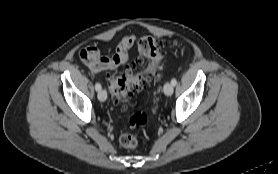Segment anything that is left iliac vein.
I'll use <instances>...</instances> for the list:
<instances>
[{
    "instance_id": "left-iliac-vein-1",
    "label": "left iliac vein",
    "mask_w": 278,
    "mask_h": 174,
    "mask_svg": "<svg viewBox=\"0 0 278 174\" xmlns=\"http://www.w3.org/2000/svg\"><path fill=\"white\" fill-rule=\"evenodd\" d=\"M164 93L167 95V96H171L173 94V91H174V88H173V85L169 82H167L165 85H164Z\"/></svg>"
}]
</instances>
